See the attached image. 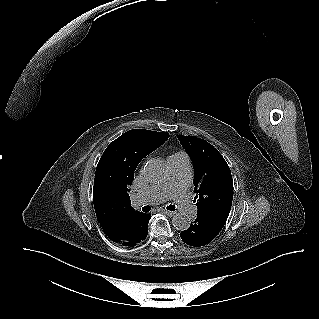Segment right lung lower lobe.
<instances>
[{"label":"right lung lower lobe","mask_w":319,"mask_h":319,"mask_svg":"<svg viewBox=\"0 0 319 319\" xmlns=\"http://www.w3.org/2000/svg\"><path fill=\"white\" fill-rule=\"evenodd\" d=\"M150 214L139 213L135 215L123 228L121 235L113 240L123 246H134L143 241L148 234Z\"/></svg>","instance_id":"98d812e1"}]
</instances>
